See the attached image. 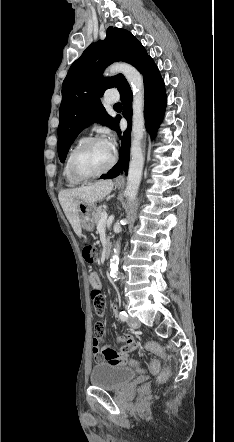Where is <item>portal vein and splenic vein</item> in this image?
Returning <instances> with one entry per match:
<instances>
[{"instance_id":"obj_1","label":"portal vein and splenic vein","mask_w":234,"mask_h":442,"mask_svg":"<svg viewBox=\"0 0 234 442\" xmlns=\"http://www.w3.org/2000/svg\"><path fill=\"white\" fill-rule=\"evenodd\" d=\"M107 212H103L102 214H101V219H100V222L99 223H101V224H103V223H105L106 222V220H107Z\"/></svg>"}]
</instances>
